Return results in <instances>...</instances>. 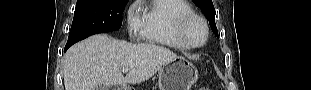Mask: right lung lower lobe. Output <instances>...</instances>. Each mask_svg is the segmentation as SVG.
I'll return each instance as SVG.
<instances>
[{"instance_id": "98d812e1", "label": "right lung lower lobe", "mask_w": 311, "mask_h": 90, "mask_svg": "<svg viewBox=\"0 0 311 90\" xmlns=\"http://www.w3.org/2000/svg\"><path fill=\"white\" fill-rule=\"evenodd\" d=\"M71 45H66L64 51H66Z\"/></svg>"}]
</instances>
